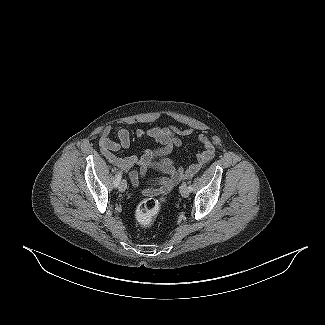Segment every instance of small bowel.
I'll return each instance as SVG.
<instances>
[{"mask_svg": "<svg viewBox=\"0 0 325 325\" xmlns=\"http://www.w3.org/2000/svg\"><path fill=\"white\" fill-rule=\"evenodd\" d=\"M111 127L103 129L99 139V147L104 157L113 165L123 169L128 173L129 179L134 187L139 186L140 178H144L150 167L156 166L171 175L169 184H178L185 178L197 173L201 167L207 164L214 156L215 149L211 139L204 134L197 136V140L204 146V149L197 154V161L187 169L178 167L177 164L166 158L175 147L182 145L181 137L193 134V129L182 128L174 125L168 127H154L147 131L137 130L136 137L159 142L162 147L157 150H143L139 156H129L125 158L117 157L114 152L120 149H127L131 144V134L125 128L117 131L118 141L112 140L109 135ZM139 167V171L136 169Z\"/></svg>", "mask_w": 325, "mask_h": 325, "instance_id": "1", "label": "small bowel"}]
</instances>
